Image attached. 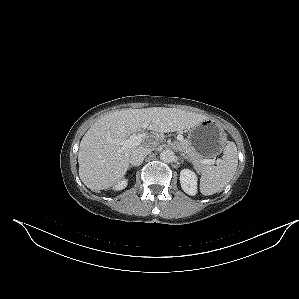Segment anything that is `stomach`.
I'll return each instance as SVG.
<instances>
[{
  "label": "stomach",
  "mask_w": 299,
  "mask_h": 299,
  "mask_svg": "<svg viewBox=\"0 0 299 299\" xmlns=\"http://www.w3.org/2000/svg\"><path fill=\"white\" fill-rule=\"evenodd\" d=\"M187 140L203 158H213L222 152L227 135L214 120L206 119L188 129Z\"/></svg>",
  "instance_id": "1"
}]
</instances>
